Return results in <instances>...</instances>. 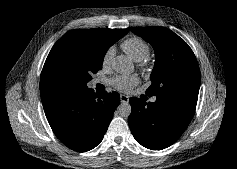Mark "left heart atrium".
Returning <instances> with one entry per match:
<instances>
[{"label": "left heart atrium", "mask_w": 237, "mask_h": 169, "mask_svg": "<svg viewBox=\"0 0 237 169\" xmlns=\"http://www.w3.org/2000/svg\"><path fill=\"white\" fill-rule=\"evenodd\" d=\"M138 83L134 75H118L111 80V85L120 91H127Z\"/></svg>", "instance_id": "obj_1"}]
</instances>
